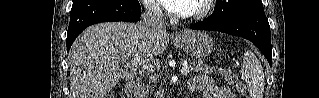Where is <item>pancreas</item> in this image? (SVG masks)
Listing matches in <instances>:
<instances>
[{
	"label": "pancreas",
	"mask_w": 319,
	"mask_h": 98,
	"mask_svg": "<svg viewBox=\"0 0 319 98\" xmlns=\"http://www.w3.org/2000/svg\"><path fill=\"white\" fill-rule=\"evenodd\" d=\"M191 69H192L193 72L203 73L206 76L208 74H212L214 72V68L213 67H209L204 62L197 61V60H192L191 61ZM149 89H150V86L148 84L143 86V91H145V90L148 91Z\"/></svg>",
	"instance_id": "pancreas-1"
}]
</instances>
